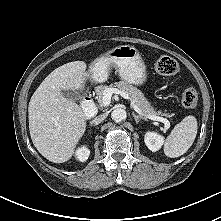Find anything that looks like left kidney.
Here are the masks:
<instances>
[{
    "instance_id": "left-kidney-1",
    "label": "left kidney",
    "mask_w": 221,
    "mask_h": 221,
    "mask_svg": "<svg viewBox=\"0 0 221 221\" xmlns=\"http://www.w3.org/2000/svg\"><path fill=\"white\" fill-rule=\"evenodd\" d=\"M144 141L149 150L156 152L163 145L164 139L161 135L155 132H147Z\"/></svg>"
}]
</instances>
